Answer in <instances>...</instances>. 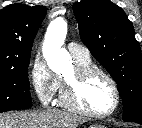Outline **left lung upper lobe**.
Returning <instances> with one entry per match:
<instances>
[{"mask_svg": "<svg viewBox=\"0 0 142 128\" xmlns=\"http://www.w3.org/2000/svg\"><path fill=\"white\" fill-rule=\"evenodd\" d=\"M73 10L81 40L117 83L123 120L142 124V58L132 23L109 0H82Z\"/></svg>", "mask_w": 142, "mask_h": 128, "instance_id": "obj_1", "label": "left lung upper lobe"}]
</instances>
